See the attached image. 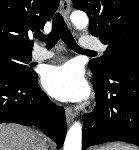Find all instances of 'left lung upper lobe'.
<instances>
[{"instance_id": "left-lung-upper-lobe-1", "label": "left lung upper lobe", "mask_w": 139, "mask_h": 150, "mask_svg": "<svg viewBox=\"0 0 139 150\" xmlns=\"http://www.w3.org/2000/svg\"><path fill=\"white\" fill-rule=\"evenodd\" d=\"M89 18V32L107 45L104 55L88 65L106 79L115 61L139 47V0H72Z\"/></svg>"}]
</instances>
